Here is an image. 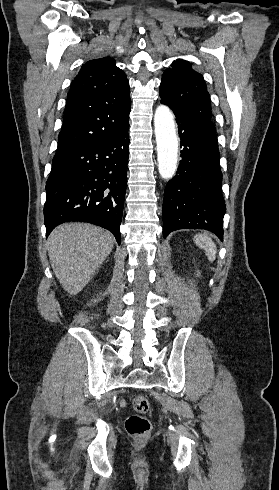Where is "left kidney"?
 <instances>
[{"label":"left kidney","instance_id":"5707ae66","mask_svg":"<svg viewBox=\"0 0 279 490\" xmlns=\"http://www.w3.org/2000/svg\"><path fill=\"white\" fill-rule=\"evenodd\" d=\"M200 274H196V278H199Z\"/></svg>","mask_w":279,"mask_h":490}]
</instances>
